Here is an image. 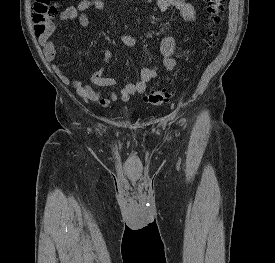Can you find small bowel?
<instances>
[{
	"mask_svg": "<svg viewBox=\"0 0 275 263\" xmlns=\"http://www.w3.org/2000/svg\"><path fill=\"white\" fill-rule=\"evenodd\" d=\"M157 9L160 12H166L171 8L180 11L185 23L189 26L195 20L194 7L186 0H156ZM95 10L107 17L111 22H115L114 10L108 6L103 0H81L75 5L66 7L59 15L57 21L76 20L81 28L89 25L90 19L87 14L88 10ZM53 28L39 38V42L43 47V52L47 61L52 62L56 58V47L52 38ZM121 40L128 47L135 45V39L125 33L120 34ZM176 42L169 34H163L160 39V53L162 56L161 68L165 72H172L177 67V62L174 58ZM104 66L95 71L90 76V82L96 86H112L116 84L113 77L105 75V68L112 61L113 54L109 50H104L102 53ZM52 69L61 79V81L73 87L77 93L84 99L95 101L102 106H108L112 101L121 99L127 101L131 96L143 94L149 82L154 80L158 75V67H142L139 71V80L129 83L119 91H113L108 95L95 90L92 86L75 78H70L65 75L58 64H52Z\"/></svg>",
	"mask_w": 275,
	"mask_h": 263,
	"instance_id": "c3829d8e",
	"label": "small bowel"
}]
</instances>
